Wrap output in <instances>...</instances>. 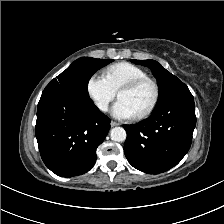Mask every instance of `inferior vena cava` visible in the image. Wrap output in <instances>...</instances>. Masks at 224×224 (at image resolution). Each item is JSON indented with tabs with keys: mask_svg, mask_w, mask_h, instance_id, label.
Listing matches in <instances>:
<instances>
[{
	"mask_svg": "<svg viewBox=\"0 0 224 224\" xmlns=\"http://www.w3.org/2000/svg\"><path fill=\"white\" fill-rule=\"evenodd\" d=\"M99 108L102 110V111H107L108 110V104L107 103H102Z\"/></svg>",
	"mask_w": 224,
	"mask_h": 224,
	"instance_id": "inferior-vena-cava-1",
	"label": "inferior vena cava"
}]
</instances>
